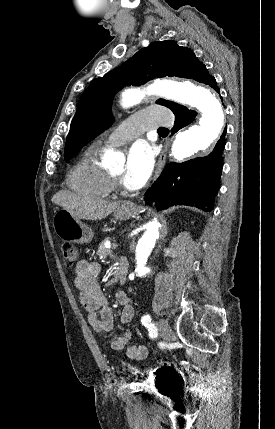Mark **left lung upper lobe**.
I'll return each mask as SVG.
<instances>
[{"instance_id": "obj_1", "label": "left lung upper lobe", "mask_w": 275, "mask_h": 429, "mask_svg": "<svg viewBox=\"0 0 275 429\" xmlns=\"http://www.w3.org/2000/svg\"><path fill=\"white\" fill-rule=\"evenodd\" d=\"M203 66L190 49L179 46L175 41H159L141 49L103 77L94 79L79 99L67 136L65 159H71L85 144L112 124L111 100L124 86H139L165 76L197 80ZM156 103L171 110L179 105L163 99Z\"/></svg>"}]
</instances>
